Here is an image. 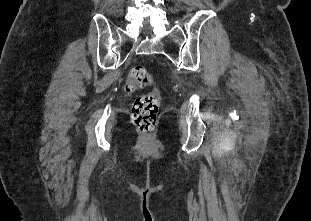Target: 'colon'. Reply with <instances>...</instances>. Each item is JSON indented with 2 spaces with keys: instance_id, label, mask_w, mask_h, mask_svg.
I'll list each match as a JSON object with an SVG mask.
<instances>
[{
  "instance_id": "1",
  "label": "colon",
  "mask_w": 311,
  "mask_h": 221,
  "mask_svg": "<svg viewBox=\"0 0 311 221\" xmlns=\"http://www.w3.org/2000/svg\"><path fill=\"white\" fill-rule=\"evenodd\" d=\"M152 83L147 69L143 66L134 67L126 79L124 90L127 94L133 93L138 88H144ZM160 107V93L158 89L138 97L132 109V122L141 132H151L156 123Z\"/></svg>"
}]
</instances>
